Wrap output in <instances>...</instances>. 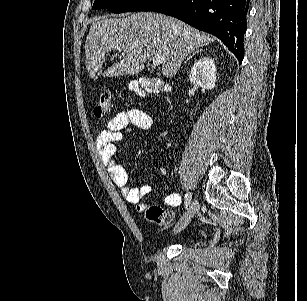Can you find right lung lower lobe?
I'll use <instances>...</instances> for the list:
<instances>
[{
  "instance_id": "right-lung-lower-lobe-1",
  "label": "right lung lower lobe",
  "mask_w": 307,
  "mask_h": 301,
  "mask_svg": "<svg viewBox=\"0 0 307 301\" xmlns=\"http://www.w3.org/2000/svg\"><path fill=\"white\" fill-rule=\"evenodd\" d=\"M248 4V0H154L142 11L161 12L215 35L241 63Z\"/></svg>"
}]
</instances>
